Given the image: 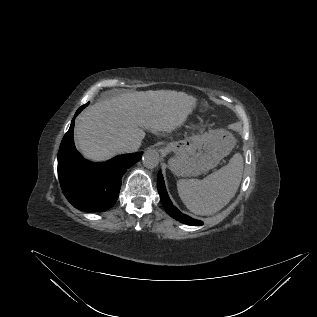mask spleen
I'll return each mask as SVG.
<instances>
[{
  "instance_id": "3e777b00",
  "label": "spleen",
  "mask_w": 317,
  "mask_h": 317,
  "mask_svg": "<svg viewBox=\"0 0 317 317\" xmlns=\"http://www.w3.org/2000/svg\"><path fill=\"white\" fill-rule=\"evenodd\" d=\"M243 157L236 153L226 166L202 180L177 181L179 196L186 207L198 215H211L235 196L243 175Z\"/></svg>"
}]
</instances>
